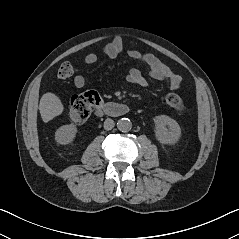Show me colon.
<instances>
[{"instance_id": "5ec220e1", "label": "colon", "mask_w": 239, "mask_h": 239, "mask_svg": "<svg viewBox=\"0 0 239 239\" xmlns=\"http://www.w3.org/2000/svg\"><path fill=\"white\" fill-rule=\"evenodd\" d=\"M74 73L71 64L63 63L57 72L60 79H68ZM166 103L173 109L184 112V105L180 97L176 94H168L166 96ZM101 104V98L98 93L88 91L74 95L70 100L69 118L74 124L84 123L92 111Z\"/></svg>"}]
</instances>
